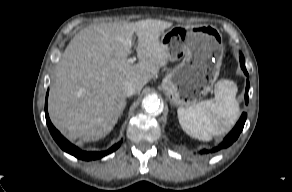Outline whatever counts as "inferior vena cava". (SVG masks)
Returning a JSON list of instances; mask_svg holds the SVG:
<instances>
[{"label": "inferior vena cava", "mask_w": 292, "mask_h": 192, "mask_svg": "<svg viewBox=\"0 0 292 192\" xmlns=\"http://www.w3.org/2000/svg\"><path fill=\"white\" fill-rule=\"evenodd\" d=\"M136 86L132 82H125L123 85V92L125 96L129 97L136 93Z\"/></svg>", "instance_id": "obj_1"}]
</instances>
